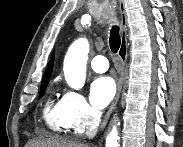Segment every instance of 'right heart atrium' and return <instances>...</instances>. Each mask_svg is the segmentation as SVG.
<instances>
[{
  "label": "right heart atrium",
  "mask_w": 183,
  "mask_h": 147,
  "mask_svg": "<svg viewBox=\"0 0 183 147\" xmlns=\"http://www.w3.org/2000/svg\"><path fill=\"white\" fill-rule=\"evenodd\" d=\"M64 116L69 128L83 133L93 127L98 120V112L94 110L78 92L68 91L62 97Z\"/></svg>",
  "instance_id": "1"
}]
</instances>
